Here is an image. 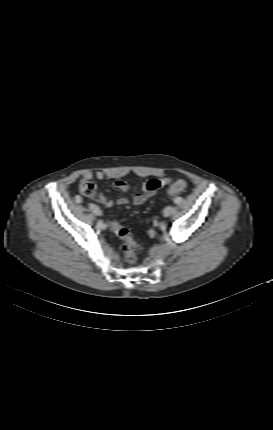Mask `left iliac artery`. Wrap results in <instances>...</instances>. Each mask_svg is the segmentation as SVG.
<instances>
[{
    "label": "left iliac artery",
    "mask_w": 273,
    "mask_h": 430,
    "mask_svg": "<svg viewBox=\"0 0 273 430\" xmlns=\"http://www.w3.org/2000/svg\"><path fill=\"white\" fill-rule=\"evenodd\" d=\"M182 202V199L181 198H176V199H174V203L175 204H180Z\"/></svg>",
    "instance_id": "obj_1"
}]
</instances>
